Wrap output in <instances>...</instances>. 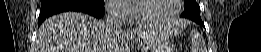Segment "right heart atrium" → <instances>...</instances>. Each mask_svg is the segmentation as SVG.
Wrapping results in <instances>:
<instances>
[{
	"mask_svg": "<svg viewBox=\"0 0 261 52\" xmlns=\"http://www.w3.org/2000/svg\"><path fill=\"white\" fill-rule=\"evenodd\" d=\"M106 8L111 17L128 18L130 16V11L123 0L107 1Z\"/></svg>",
	"mask_w": 261,
	"mask_h": 52,
	"instance_id": "d8ad5b80",
	"label": "right heart atrium"
}]
</instances>
